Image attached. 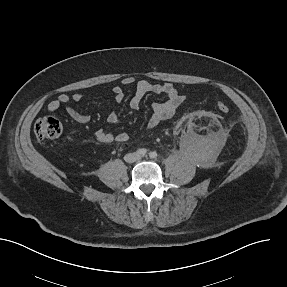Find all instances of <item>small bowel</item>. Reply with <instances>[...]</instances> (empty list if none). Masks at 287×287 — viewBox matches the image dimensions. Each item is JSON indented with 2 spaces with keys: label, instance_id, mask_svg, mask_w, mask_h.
<instances>
[{
  "label": "small bowel",
  "instance_id": "obj_1",
  "mask_svg": "<svg viewBox=\"0 0 287 287\" xmlns=\"http://www.w3.org/2000/svg\"><path fill=\"white\" fill-rule=\"evenodd\" d=\"M121 82L125 86H134L135 88L134 95L129 102L130 107L134 110L139 109L144 96L148 93L166 95V101L154 103L151 107V115L147 122V127L150 129L156 127L160 122L171 118L184 101L183 95H181L176 87L170 82L152 83L146 80H136L133 76H125L122 78ZM112 94L115 103L119 104L123 102L125 93L121 87H114L112 89ZM82 100L83 95L80 93H75L71 96L61 94L48 103L47 110L49 112H56L61 107H64L67 115L73 121L80 124H86L90 121V117L72 106V103H78ZM116 120L117 115L115 112L112 111L106 115V121L108 123H113ZM69 139L72 140V138ZM95 139L103 144H110L112 142L126 143L129 140V135L125 132L113 134L100 129L95 132Z\"/></svg>",
  "mask_w": 287,
  "mask_h": 287
}]
</instances>
